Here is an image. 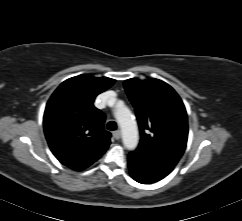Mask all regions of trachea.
I'll use <instances>...</instances> for the list:
<instances>
[{
  "mask_svg": "<svg viewBox=\"0 0 242 221\" xmlns=\"http://www.w3.org/2000/svg\"><path fill=\"white\" fill-rule=\"evenodd\" d=\"M107 129L110 131L116 130L117 129V124L114 121H110L107 123Z\"/></svg>",
  "mask_w": 242,
  "mask_h": 221,
  "instance_id": "obj_1",
  "label": "trachea"
}]
</instances>
